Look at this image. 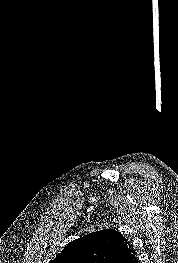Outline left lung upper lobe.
<instances>
[{
    "mask_svg": "<svg viewBox=\"0 0 178 263\" xmlns=\"http://www.w3.org/2000/svg\"><path fill=\"white\" fill-rule=\"evenodd\" d=\"M126 243V238L118 231H96L70 242L49 263H109Z\"/></svg>",
    "mask_w": 178,
    "mask_h": 263,
    "instance_id": "obj_1",
    "label": "left lung upper lobe"
}]
</instances>
